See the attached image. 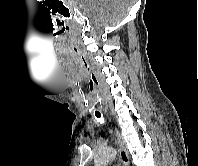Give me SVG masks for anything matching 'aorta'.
<instances>
[{
	"instance_id": "762f6f07",
	"label": "aorta",
	"mask_w": 198,
	"mask_h": 166,
	"mask_svg": "<svg viewBox=\"0 0 198 166\" xmlns=\"http://www.w3.org/2000/svg\"><path fill=\"white\" fill-rule=\"evenodd\" d=\"M116 156V150L114 148H106L100 150L94 159L95 166H107Z\"/></svg>"
}]
</instances>
